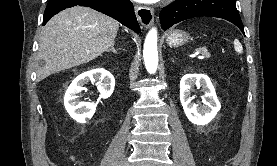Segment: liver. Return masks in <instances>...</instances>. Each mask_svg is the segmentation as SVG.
Returning a JSON list of instances; mask_svg holds the SVG:
<instances>
[{
  "instance_id": "obj_1",
  "label": "liver",
  "mask_w": 277,
  "mask_h": 166,
  "mask_svg": "<svg viewBox=\"0 0 277 166\" xmlns=\"http://www.w3.org/2000/svg\"><path fill=\"white\" fill-rule=\"evenodd\" d=\"M115 19L93 9L75 6L55 15L44 27L39 39L37 79L88 63L102 55L117 36Z\"/></svg>"
}]
</instances>
